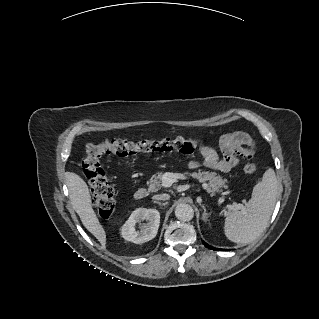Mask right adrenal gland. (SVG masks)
I'll list each match as a JSON object with an SVG mask.
<instances>
[{
    "label": "right adrenal gland",
    "instance_id": "obj_1",
    "mask_svg": "<svg viewBox=\"0 0 319 319\" xmlns=\"http://www.w3.org/2000/svg\"><path fill=\"white\" fill-rule=\"evenodd\" d=\"M154 203H156V204L160 205L161 207H162V206H165V205H167V204H168L167 202H166V203H161V202H156V201H154Z\"/></svg>",
    "mask_w": 319,
    "mask_h": 319
}]
</instances>
